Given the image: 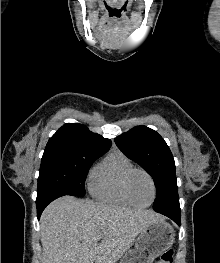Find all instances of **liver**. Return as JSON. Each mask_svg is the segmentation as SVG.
Returning <instances> with one entry per match:
<instances>
[{
  "label": "liver",
  "instance_id": "6515ba94",
  "mask_svg": "<svg viewBox=\"0 0 220 263\" xmlns=\"http://www.w3.org/2000/svg\"><path fill=\"white\" fill-rule=\"evenodd\" d=\"M159 219L152 210L60 197L41 215L42 263H117L142 230Z\"/></svg>",
  "mask_w": 220,
  "mask_h": 263
}]
</instances>
